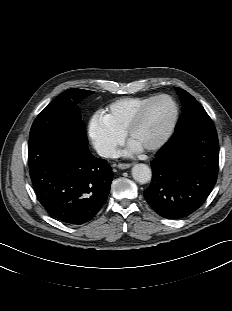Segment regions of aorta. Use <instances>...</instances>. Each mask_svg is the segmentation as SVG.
I'll return each instance as SVG.
<instances>
[{
    "mask_svg": "<svg viewBox=\"0 0 232 311\" xmlns=\"http://www.w3.org/2000/svg\"><path fill=\"white\" fill-rule=\"evenodd\" d=\"M132 177L138 183L145 184L151 180L152 172L146 164H136L132 167Z\"/></svg>",
    "mask_w": 232,
    "mask_h": 311,
    "instance_id": "obj_1",
    "label": "aorta"
}]
</instances>
